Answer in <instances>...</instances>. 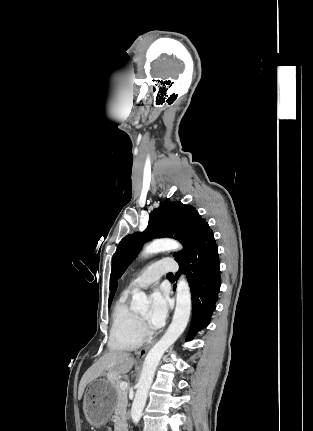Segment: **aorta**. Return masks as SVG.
I'll return each mask as SVG.
<instances>
[{"mask_svg": "<svg viewBox=\"0 0 313 431\" xmlns=\"http://www.w3.org/2000/svg\"><path fill=\"white\" fill-rule=\"evenodd\" d=\"M181 244L173 239H158L148 244L142 252V256L180 250ZM133 308L136 311H146L149 301L144 292L140 291L132 297ZM191 314V293L188 282L182 276L178 280L176 289V308L172 322L161 339L147 353L141 372L140 380L137 384V391L131 407V418L137 424L142 416L146 404L147 396L156 368L167 349L172 346L184 332Z\"/></svg>", "mask_w": 313, "mask_h": 431, "instance_id": "762f6f07", "label": "aorta"}]
</instances>
